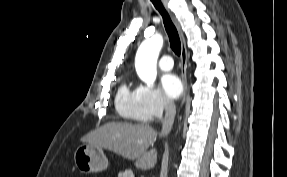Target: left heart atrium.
<instances>
[{"label": "left heart atrium", "instance_id": "39dd6f15", "mask_svg": "<svg viewBox=\"0 0 287 177\" xmlns=\"http://www.w3.org/2000/svg\"><path fill=\"white\" fill-rule=\"evenodd\" d=\"M162 89L169 99H177L184 89L183 81L175 74H165L161 79Z\"/></svg>", "mask_w": 287, "mask_h": 177}]
</instances>
